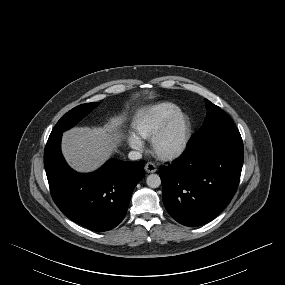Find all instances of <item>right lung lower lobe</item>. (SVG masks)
<instances>
[{"instance_id":"right-lung-lower-lobe-1","label":"right lung lower lobe","mask_w":285,"mask_h":285,"mask_svg":"<svg viewBox=\"0 0 285 285\" xmlns=\"http://www.w3.org/2000/svg\"><path fill=\"white\" fill-rule=\"evenodd\" d=\"M62 132L51 133L44 166L52 198L72 221L93 231H108L124 218L132 192L144 177V161L111 159L93 173L72 170L61 153Z\"/></svg>"}]
</instances>
